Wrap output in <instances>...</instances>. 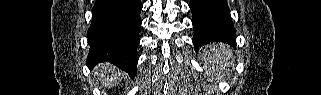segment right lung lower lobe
<instances>
[{
	"label": "right lung lower lobe",
	"mask_w": 321,
	"mask_h": 95,
	"mask_svg": "<svg viewBox=\"0 0 321 95\" xmlns=\"http://www.w3.org/2000/svg\"><path fill=\"white\" fill-rule=\"evenodd\" d=\"M141 9L140 0H96L88 30L89 67L108 61L134 78Z\"/></svg>",
	"instance_id": "obj_1"
}]
</instances>
